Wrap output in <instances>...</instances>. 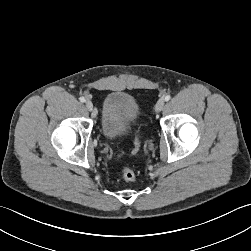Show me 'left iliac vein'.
Wrapping results in <instances>:
<instances>
[{"instance_id":"1","label":"left iliac vein","mask_w":251,"mask_h":251,"mask_svg":"<svg viewBox=\"0 0 251 251\" xmlns=\"http://www.w3.org/2000/svg\"><path fill=\"white\" fill-rule=\"evenodd\" d=\"M165 105V100L163 98L159 99L155 105V111L160 112Z\"/></svg>"}]
</instances>
